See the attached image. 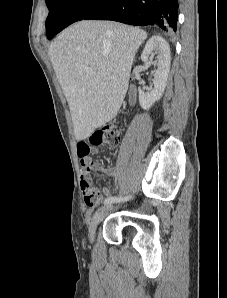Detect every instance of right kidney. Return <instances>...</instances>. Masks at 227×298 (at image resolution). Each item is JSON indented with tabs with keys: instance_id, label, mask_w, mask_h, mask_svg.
<instances>
[{
	"instance_id": "right-kidney-1",
	"label": "right kidney",
	"mask_w": 227,
	"mask_h": 298,
	"mask_svg": "<svg viewBox=\"0 0 227 298\" xmlns=\"http://www.w3.org/2000/svg\"><path fill=\"white\" fill-rule=\"evenodd\" d=\"M155 55L157 70L155 71L153 80L154 88L147 92L139 88V102L145 110L149 109L162 97L170 71V47L166 40L160 36H153L147 41L141 55V60L147 62L149 57L153 58Z\"/></svg>"
}]
</instances>
